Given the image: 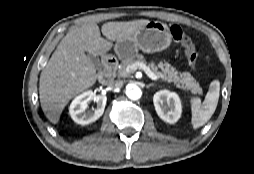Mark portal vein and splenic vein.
<instances>
[{
  "label": "portal vein and splenic vein",
  "mask_w": 254,
  "mask_h": 174,
  "mask_svg": "<svg viewBox=\"0 0 254 174\" xmlns=\"http://www.w3.org/2000/svg\"><path fill=\"white\" fill-rule=\"evenodd\" d=\"M137 69H140L146 73V75L156 81L158 77L156 74L144 63L142 62H135L127 67V72H135Z\"/></svg>",
  "instance_id": "18ae733b"
}]
</instances>
